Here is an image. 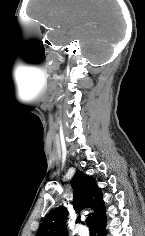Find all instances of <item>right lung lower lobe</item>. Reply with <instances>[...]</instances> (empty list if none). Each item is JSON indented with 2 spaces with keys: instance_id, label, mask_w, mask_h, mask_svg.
<instances>
[{
  "instance_id": "right-lung-lower-lobe-1",
  "label": "right lung lower lobe",
  "mask_w": 145,
  "mask_h": 236,
  "mask_svg": "<svg viewBox=\"0 0 145 236\" xmlns=\"http://www.w3.org/2000/svg\"><path fill=\"white\" fill-rule=\"evenodd\" d=\"M97 236H106V215L99 219L96 223Z\"/></svg>"
}]
</instances>
